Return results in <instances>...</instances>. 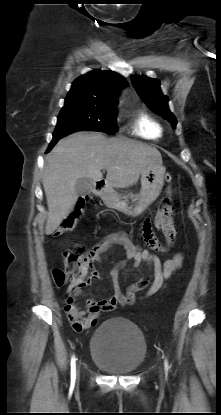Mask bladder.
I'll list each match as a JSON object with an SVG mask.
<instances>
[{
    "label": "bladder",
    "mask_w": 221,
    "mask_h": 415,
    "mask_svg": "<svg viewBox=\"0 0 221 415\" xmlns=\"http://www.w3.org/2000/svg\"><path fill=\"white\" fill-rule=\"evenodd\" d=\"M147 344L140 328L123 317L104 321L92 334L90 354L101 370L114 375H127L143 363Z\"/></svg>",
    "instance_id": "obj_1"
}]
</instances>
